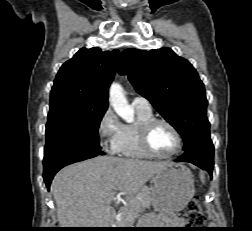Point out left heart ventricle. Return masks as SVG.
Here are the masks:
<instances>
[{"mask_svg":"<svg viewBox=\"0 0 252 231\" xmlns=\"http://www.w3.org/2000/svg\"><path fill=\"white\" fill-rule=\"evenodd\" d=\"M150 145L155 152L168 155L177 146L173 132L164 124H156L150 132Z\"/></svg>","mask_w":252,"mask_h":231,"instance_id":"left-heart-ventricle-1","label":"left heart ventricle"}]
</instances>
